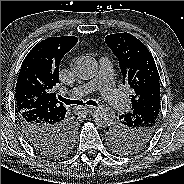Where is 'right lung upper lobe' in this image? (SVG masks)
<instances>
[{
  "label": "right lung upper lobe",
  "instance_id": "1",
  "mask_svg": "<svg viewBox=\"0 0 184 184\" xmlns=\"http://www.w3.org/2000/svg\"><path fill=\"white\" fill-rule=\"evenodd\" d=\"M77 42L75 36L49 37L27 54L16 83L15 104L18 113L31 109L48 112L66 110L52 89L59 83L61 59Z\"/></svg>",
  "mask_w": 184,
  "mask_h": 184
}]
</instances>
